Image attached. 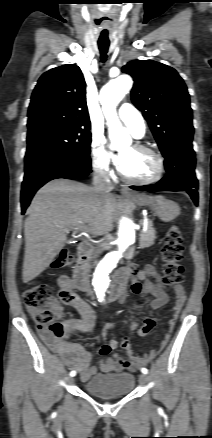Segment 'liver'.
Listing matches in <instances>:
<instances>
[{
	"label": "liver",
	"mask_w": 212,
	"mask_h": 438,
	"mask_svg": "<svg viewBox=\"0 0 212 438\" xmlns=\"http://www.w3.org/2000/svg\"><path fill=\"white\" fill-rule=\"evenodd\" d=\"M116 198L99 195L93 187L67 179L45 184L34 196L25 220L23 282L42 273L65 246L70 230L93 235L110 232L116 214Z\"/></svg>",
	"instance_id": "obj_1"
}]
</instances>
